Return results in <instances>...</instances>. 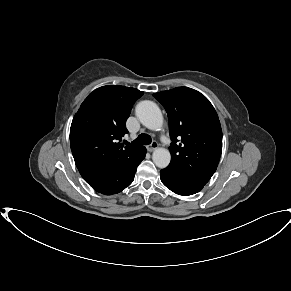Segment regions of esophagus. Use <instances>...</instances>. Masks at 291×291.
Wrapping results in <instances>:
<instances>
[{
	"label": "esophagus",
	"instance_id": "34e87169",
	"mask_svg": "<svg viewBox=\"0 0 291 291\" xmlns=\"http://www.w3.org/2000/svg\"><path fill=\"white\" fill-rule=\"evenodd\" d=\"M156 148H158V143L156 141H153L149 146H147V150L150 152L154 151Z\"/></svg>",
	"mask_w": 291,
	"mask_h": 291
}]
</instances>
